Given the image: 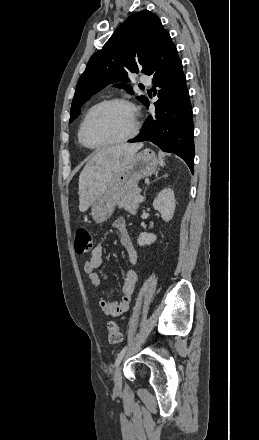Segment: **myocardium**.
Masks as SVG:
<instances>
[{
    "instance_id": "obj_1",
    "label": "myocardium",
    "mask_w": 259,
    "mask_h": 440,
    "mask_svg": "<svg viewBox=\"0 0 259 440\" xmlns=\"http://www.w3.org/2000/svg\"><path fill=\"white\" fill-rule=\"evenodd\" d=\"M111 104H123L131 110L132 116H133V126H132L131 131L126 136H124L118 140L110 141V142L99 144V145L89 144L85 138V128H86V125H87L89 119L96 111H98L99 109H101L107 105H111ZM139 130H140L139 114H138V111H137V108L135 107V105L131 101H129L125 98L115 97V98L103 100V101L95 104L94 106H92L88 110V112L84 116V118L80 124V127H79V138H80L81 144L85 148L90 149V150H100V149H103L106 147L119 145V144L125 143V142L133 139L139 133Z\"/></svg>"
}]
</instances>
